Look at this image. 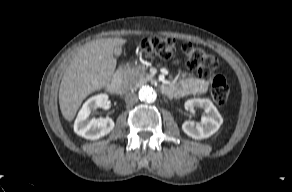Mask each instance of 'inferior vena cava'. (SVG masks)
<instances>
[{
	"mask_svg": "<svg viewBox=\"0 0 292 192\" xmlns=\"http://www.w3.org/2000/svg\"><path fill=\"white\" fill-rule=\"evenodd\" d=\"M125 102L128 104V105H133L135 103L138 102V96L137 94H135L134 92H127L125 94Z\"/></svg>",
	"mask_w": 292,
	"mask_h": 192,
	"instance_id": "602c4592",
	"label": "inferior vena cava"
}]
</instances>
